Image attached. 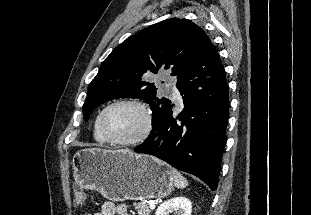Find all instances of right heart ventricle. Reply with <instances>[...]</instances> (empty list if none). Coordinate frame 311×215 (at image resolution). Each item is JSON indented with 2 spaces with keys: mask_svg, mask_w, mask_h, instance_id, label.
Instances as JSON below:
<instances>
[{
  "mask_svg": "<svg viewBox=\"0 0 311 215\" xmlns=\"http://www.w3.org/2000/svg\"><path fill=\"white\" fill-rule=\"evenodd\" d=\"M98 117L99 114L96 116L95 121H94V129H93V134H94V138L97 142L103 144L106 143L107 141L103 138V136L101 135L99 128H98Z\"/></svg>",
  "mask_w": 311,
  "mask_h": 215,
  "instance_id": "1",
  "label": "right heart ventricle"
}]
</instances>
